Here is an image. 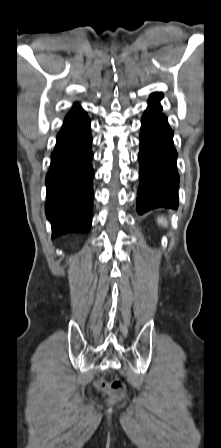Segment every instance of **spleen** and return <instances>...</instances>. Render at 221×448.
Masks as SVG:
<instances>
[{"label": "spleen", "mask_w": 221, "mask_h": 448, "mask_svg": "<svg viewBox=\"0 0 221 448\" xmlns=\"http://www.w3.org/2000/svg\"><path fill=\"white\" fill-rule=\"evenodd\" d=\"M157 223H158L159 225H162L163 227H166V226H167V221H166V219H165L164 217H158V219H157Z\"/></svg>", "instance_id": "3e777b00"}]
</instances>
